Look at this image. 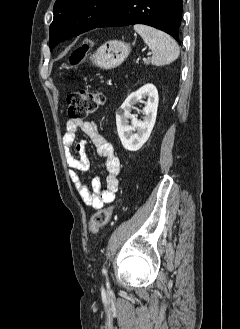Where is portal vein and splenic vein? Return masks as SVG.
I'll return each instance as SVG.
<instances>
[{
	"label": "portal vein and splenic vein",
	"instance_id": "1",
	"mask_svg": "<svg viewBox=\"0 0 240 329\" xmlns=\"http://www.w3.org/2000/svg\"><path fill=\"white\" fill-rule=\"evenodd\" d=\"M148 55H151V53H148ZM144 61H147L146 58L143 59Z\"/></svg>",
	"mask_w": 240,
	"mask_h": 329
}]
</instances>
